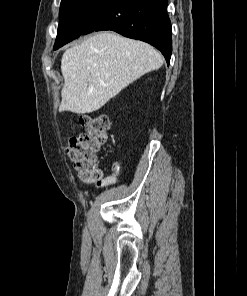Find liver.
<instances>
[{
    "instance_id": "liver-1",
    "label": "liver",
    "mask_w": 247,
    "mask_h": 296,
    "mask_svg": "<svg viewBox=\"0 0 247 296\" xmlns=\"http://www.w3.org/2000/svg\"><path fill=\"white\" fill-rule=\"evenodd\" d=\"M162 65L161 54L145 42L108 31L96 33L62 56L64 86L59 111H97L129 84Z\"/></svg>"
}]
</instances>
